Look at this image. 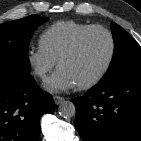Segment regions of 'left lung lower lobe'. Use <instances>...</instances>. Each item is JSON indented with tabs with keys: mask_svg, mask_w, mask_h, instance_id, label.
Here are the masks:
<instances>
[{
	"mask_svg": "<svg viewBox=\"0 0 141 141\" xmlns=\"http://www.w3.org/2000/svg\"><path fill=\"white\" fill-rule=\"evenodd\" d=\"M73 103L83 141L141 139V72L100 82Z\"/></svg>",
	"mask_w": 141,
	"mask_h": 141,
	"instance_id": "obj_1",
	"label": "left lung lower lobe"
}]
</instances>
